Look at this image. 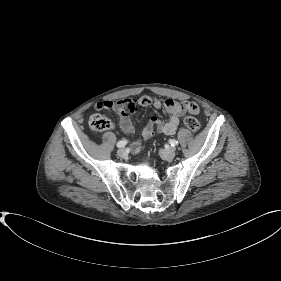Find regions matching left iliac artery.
Instances as JSON below:
<instances>
[{
    "label": "left iliac artery",
    "mask_w": 281,
    "mask_h": 281,
    "mask_svg": "<svg viewBox=\"0 0 281 281\" xmlns=\"http://www.w3.org/2000/svg\"><path fill=\"white\" fill-rule=\"evenodd\" d=\"M169 143H170L171 146H173V147H175V146L178 145V141H177V140H174V139L170 140Z\"/></svg>",
    "instance_id": "44dca946"
}]
</instances>
